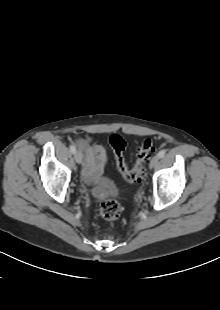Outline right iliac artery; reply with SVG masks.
Returning <instances> with one entry per match:
<instances>
[{"instance_id": "82829eb1", "label": "right iliac artery", "mask_w": 220, "mask_h": 310, "mask_svg": "<svg viewBox=\"0 0 220 310\" xmlns=\"http://www.w3.org/2000/svg\"><path fill=\"white\" fill-rule=\"evenodd\" d=\"M70 151H71V153H75L76 147L74 145H70Z\"/></svg>"}]
</instances>
